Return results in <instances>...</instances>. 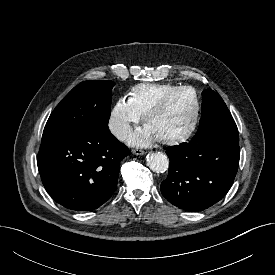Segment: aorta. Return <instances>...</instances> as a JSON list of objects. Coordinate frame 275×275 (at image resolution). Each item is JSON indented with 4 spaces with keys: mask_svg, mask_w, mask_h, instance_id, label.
I'll return each instance as SVG.
<instances>
[{
    "mask_svg": "<svg viewBox=\"0 0 275 275\" xmlns=\"http://www.w3.org/2000/svg\"><path fill=\"white\" fill-rule=\"evenodd\" d=\"M148 167L157 173H163L168 169L169 159L162 152H153L147 155Z\"/></svg>",
    "mask_w": 275,
    "mask_h": 275,
    "instance_id": "obj_1",
    "label": "aorta"
}]
</instances>
